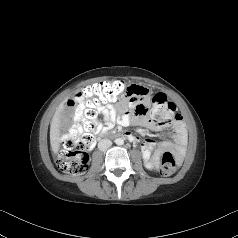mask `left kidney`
<instances>
[{
    "label": "left kidney",
    "mask_w": 238,
    "mask_h": 238,
    "mask_svg": "<svg viewBox=\"0 0 238 238\" xmlns=\"http://www.w3.org/2000/svg\"><path fill=\"white\" fill-rule=\"evenodd\" d=\"M145 167L148 168V169H151L152 165L149 162H147V163H145Z\"/></svg>",
    "instance_id": "obj_1"
}]
</instances>
